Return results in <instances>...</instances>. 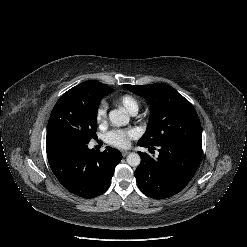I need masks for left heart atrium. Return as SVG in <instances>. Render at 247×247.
Returning <instances> with one entry per match:
<instances>
[{"instance_id":"1","label":"left heart atrium","mask_w":247,"mask_h":247,"mask_svg":"<svg viewBox=\"0 0 247 247\" xmlns=\"http://www.w3.org/2000/svg\"><path fill=\"white\" fill-rule=\"evenodd\" d=\"M135 136L136 132L132 129H116L108 132L106 139L113 146L125 148Z\"/></svg>"}]
</instances>
